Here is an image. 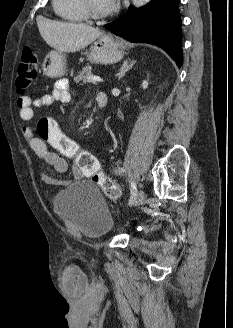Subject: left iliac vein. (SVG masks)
<instances>
[{
  "instance_id": "left-iliac-vein-1",
  "label": "left iliac vein",
  "mask_w": 233,
  "mask_h": 328,
  "mask_svg": "<svg viewBox=\"0 0 233 328\" xmlns=\"http://www.w3.org/2000/svg\"><path fill=\"white\" fill-rule=\"evenodd\" d=\"M144 200H145V193L143 190H139L135 195V198L133 200V205L140 206L143 204Z\"/></svg>"
}]
</instances>
